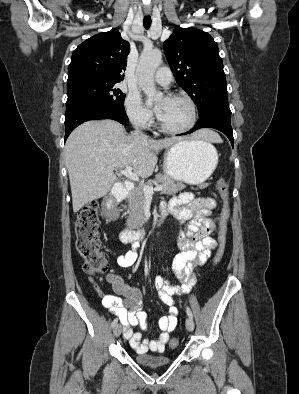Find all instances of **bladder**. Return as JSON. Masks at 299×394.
<instances>
[{"label":"bladder","mask_w":299,"mask_h":394,"mask_svg":"<svg viewBox=\"0 0 299 394\" xmlns=\"http://www.w3.org/2000/svg\"><path fill=\"white\" fill-rule=\"evenodd\" d=\"M135 360L138 365L147 369H157L169 365L172 362L171 357L154 354H137Z\"/></svg>","instance_id":"obj_1"}]
</instances>
